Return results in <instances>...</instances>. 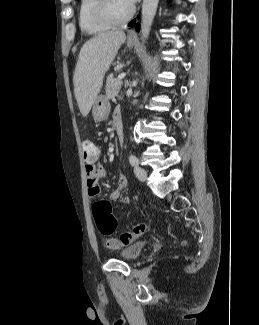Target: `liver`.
Listing matches in <instances>:
<instances>
[{
	"instance_id": "1",
	"label": "liver",
	"mask_w": 259,
	"mask_h": 325,
	"mask_svg": "<svg viewBox=\"0 0 259 325\" xmlns=\"http://www.w3.org/2000/svg\"><path fill=\"white\" fill-rule=\"evenodd\" d=\"M125 39L124 31H108L91 38L82 46L73 81L75 98L84 117L90 112L105 73Z\"/></svg>"
}]
</instances>
